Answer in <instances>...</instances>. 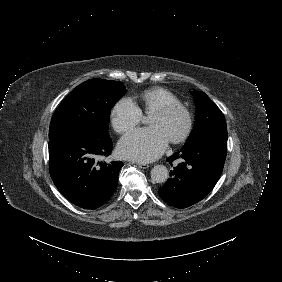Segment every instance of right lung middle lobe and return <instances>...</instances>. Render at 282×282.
Segmentation results:
<instances>
[{
  "label": "right lung middle lobe",
  "instance_id": "dd1d6c3e",
  "mask_svg": "<svg viewBox=\"0 0 282 282\" xmlns=\"http://www.w3.org/2000/svg\"><path fill=\"white\" fill-rule=\"evenodd\" d=\"M126 91L118 81L91 79L80 84L56 109L49 139L72 129H85L99 137L109 136L110 110Z\"/></svg>",
  "mask_w": 282,
  "mask_h": 282
}]
</instances>
